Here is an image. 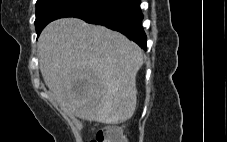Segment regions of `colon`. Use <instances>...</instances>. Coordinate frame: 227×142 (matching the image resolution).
Instances as JSON below:
<instances>
[{"mask_svg":"<svg viewBox=\"0 0 227 142\" xmlns=\"http://www.w3.org/2000/svg\"><path fill=\"white\" fill-rule=\"evenodd\" d=\"M91 142H126L123 129L120 126H109L98 131Z\"/></svg>","mask_w":227,"mask_h":142,"instance_id":"5ec220e1","label":"colon"}]
</instances>
